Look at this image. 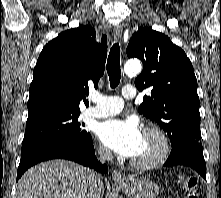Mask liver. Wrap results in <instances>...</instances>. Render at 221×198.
I'll list each match as a JSON object with an SVG mask.
<instances>
[{
	"mask_svg": "<svg viewBox=\"0 0 221 198\" xmlns=\"http://www.w3.org/2000/svg\"><path fill=\"white\" fill-rule=\"evenodd\" d=\"M90 169L65 160L31 167L17 185L16 198H102L104 185L91 189Z\"/></svg>",
	"mask_w": 221,
	"mask_h": 198,
	"instance_id": "liver-1",
	"label": "liver"
}]
</instances>
